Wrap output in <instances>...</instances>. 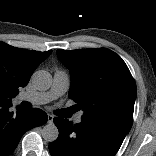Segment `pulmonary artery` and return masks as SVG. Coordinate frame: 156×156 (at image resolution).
I'll return each mask as SVG.
<instances>
[{"label":"pulmonary artery","instance_id":"obj_1","mask_svg":"<svg viewBox=\"0 0 156 156\" xmlns=\"http://www.w3.org/2000/svg\"><path fill=\"white\" fill-rule=\"evenodd\" d=\"M70 86V77L66 71L57 70L54 73L53 81L48 91L25 92L20 96L21 100L33 104H45L64 95ZM82 113H78L73 121L76 124L81 122Z\"/></svg>","mask_w":156,"mask_h":156}]
</instances>
